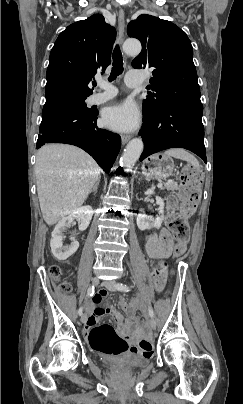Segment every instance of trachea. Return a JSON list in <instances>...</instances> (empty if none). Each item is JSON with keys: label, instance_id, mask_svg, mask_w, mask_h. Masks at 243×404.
<instances>
[{"label": "trachea", "instance_id": "1", "mask_svg": "<svg viewBox=\"0 0 243 404\" xmlns=\"http://www.w3.org/2000/svg\"><path fill=\"white\" fill-rule=\"evenodd\" d=\"M113 58V68L111 74L109 76V82L115 80L118 75L123 73V57L119 45H116L112 54ZM96 83H93V86L96 87Z\"/></svg>", "mask_w": 243, "mask_h": 404}]
</instances>
